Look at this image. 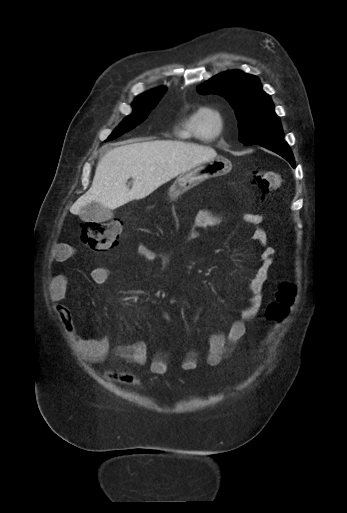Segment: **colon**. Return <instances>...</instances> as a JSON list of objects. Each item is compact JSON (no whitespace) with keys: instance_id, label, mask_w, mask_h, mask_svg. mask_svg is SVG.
I'll list each match as a JSON object with an SVG mask.
<instances>
[{"instance_id":"obj_1","label":"colon","mask_w":347,"mask_h":513,"mask_svg":"<svg viewBox=\"0 0 347 513\" xmlns=\"http://www.w3.org/2000/svg\"><path fill=\"white\" fill-rule=\"evenodd\" d=\"M281 176L277 171L257 170L250 176V184L256 189L261 198L266 200L269 194L279 188ZM123 232L120 220L107 222H86L80 226L81 240L94 251L105 253L116 247ZM297 286L292 283H281L276 290L275 300L267 309L270 319H284L297 297Z\"/></svg>"}]
</instances>
